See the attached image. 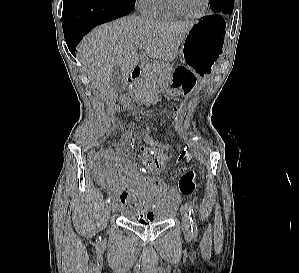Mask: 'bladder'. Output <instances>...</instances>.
<instances>
[{"mask_svg": "<svg viewBox=\"0 0 299 273\" xmlns=\"http://www.w3.org/2000/svg\"><path fill=\"white\" fill-rule=\"evenodd\" d=\"M172 210H155L150 220H144L140 216V213L132 210L125 211L123 216L127 221L134 224H139V225L162 224L169 220Z\"/></svg>", "mask_w": 299, "mask_h": 273, "instance_id": "bladder-1", "label": "bladder"}]
</instances>
